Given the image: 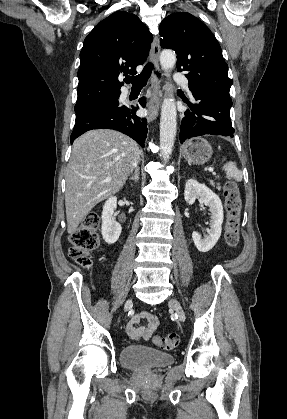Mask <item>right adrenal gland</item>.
<instances>
[{"label":"right adrenal gland","instance_id":"obj_1","mask_svg":"<svg viewBox=\"0 0 287 419\" xmlns=\"http://www.w3.org/2000/svg\"><path fill=\"white\" fill-rule=\"evenodd\" d=\"M139 175H140L139 167H136L135 171H134V174L129 177V180L134 181V182L137 183L139 181Z\"/></svg>","mask_w":287,"mask_h":419}]
</instances>
